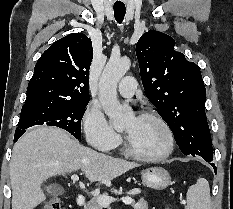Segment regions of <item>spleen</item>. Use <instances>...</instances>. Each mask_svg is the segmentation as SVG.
I'll return each mask as SVG.
<instances>
[{
    "label": "spleen",
    "instance_id": "obj_1",
    "mask_svg": "<svg viewBox=\"0 0 233 209\" xmlns=\"http://www.w3.org/2000/svg\"><path fill=\"white\" fill-rule=\"evenodd\" d=\"M187 209H210V188L208 181L199 178L187 192Z\"/></svg>",
    "mask_w": 233,
    "mask_h": 209
}]
</instances>
